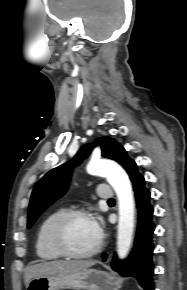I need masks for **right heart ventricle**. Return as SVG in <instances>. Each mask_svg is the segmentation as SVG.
<instances>
[{
	"label": "right heart ventricle",
	"instance_id": "obj_1",
	"mask_svg": "<svg viewBox=\"0 0 187 290\" xmlns=\"http://www.w3.org/2000/svg\"><path fill=\"white\" fill-rule=\"evenodd\" d=\"M65 212L64 208H58L50 212L41 222L35 240L37 256L45 261H53L62 256L54 249L51 242V229L57 218Z\"/></svg>",
	"mask_w": 187,
	"mask_h": 290
}]
</instances>
